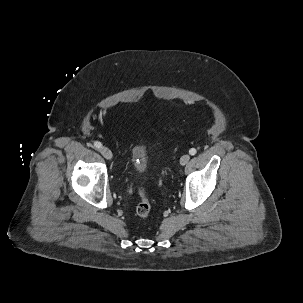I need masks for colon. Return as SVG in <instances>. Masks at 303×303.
<instances>
[{"mask_svg":"<svg viewBox=\"0 0 303 303\" xmlns=\"http://www.w3.org/2000/svg\"><path fill=\"white\" fill-rule=\"evenodd\" d=\"M138 195L140 198V202L137 205L136 212L139 217L145 219L149 216L151 211V203L148 198L147 191L144 187H140L138 189Z\"/></svg>","mask_w":303,"mask_h":303,"instance_id":"colon-1","label":"colon"}]
</instances>
